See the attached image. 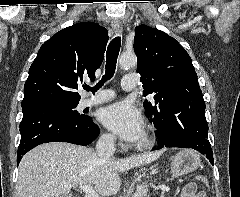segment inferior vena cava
<instances>
[{"label":"inferior vena cava","mask_w":240,"mask_h":197,"mask_svg":"<svg viewBox=\"0 0 240 197\" xmlns=\"http://www.w3.org/2000/svg\"><path fill=\"white\" fill-rule=\"evenodd\" d=\"M115 136L113 134L103 135L96 144L97 155L102 159H110L115 151Z\"/></svg>","instance_id":"obj_1"}]
</instances>
